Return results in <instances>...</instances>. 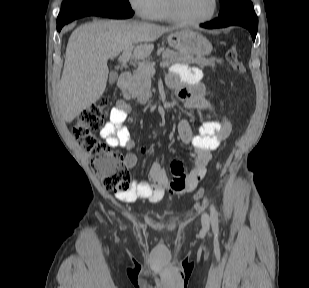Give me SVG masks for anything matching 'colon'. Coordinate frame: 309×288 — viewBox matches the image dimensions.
I'll return each mask as SVG.
<instances>
[{
	"instance_id": "1",
	"label": "colon",
	"mask_w": 309,
	"mask_h": 288,
	"mask_svg": "<svg viewBox=\"0 0 309 288\" xmlns=\"http://www.w3.org/2000/svg\"><path fill=\"white\" fill-rule=\"evenodd\" d=\"M225 58L237 73L244 74V66L235 48H229ZM108 110V99L98 98L80 112L73 125L72 133L78 144L89 154L90 165L104 188L115 194H124L131 189V175L127 169L126 158L121 153L113 151L95 134V131L102 126ZM168 189L171 192L170 188ZM203 194L204 188L201 186L195 191L193 198L200 200Z\"/></svg>"
}]
</instances>
